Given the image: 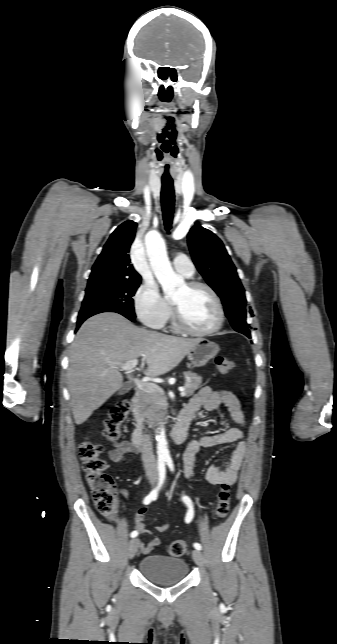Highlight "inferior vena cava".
<instances>
[{
	"instance_id": "602c4592",
	"label": "inferior vena cava",
	"mask_w": 337,
	"mask_h": 644,
	"mask_svg": "<svg viewBox=\"0 0 337 644\" xmlns=\"http://www.w3.org/2000/svg\"><path fill=\"white\" fill-rule=\"evenodd\" d=\"M142 461L147 474L156 475L157 474V464L155 456L153 454L152 441L149 435H145L142 442Z\"/></svg>"
}]
</instances>
